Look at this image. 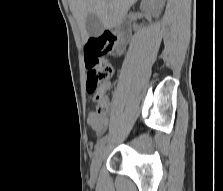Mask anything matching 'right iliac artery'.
<instances>
[{
    "label": "right iliac artery",
    "mask_w": 223,
    "mask_h": 191,
    "mask_svg": "<svg viewBox=\"0 0 223 191\" xmlns=\"http://www.w3.org/2000/svg\"><path fill=\"white\" fill-rule=\"evenodd\" d=\"M107 140V136L102 137L96 144L95 146V150L98 151L100 147H102L104 145V143Z\"/></svg>",
    "instance_id": "1"
}]
</instances>
